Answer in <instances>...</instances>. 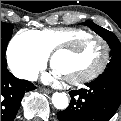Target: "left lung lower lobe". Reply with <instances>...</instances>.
<instances>
[{
    "label": "left lung lower lobe",
    "mask_w": 121,
    "mask_h": 121,
    "mask_svg": "<svg viewBox=\"0 0 121 121\" xmlns=\"http://www.w3.org/2000/svg\"><path fill=\"white\" fill-rule=\"evenodd\" d=\"M87 89L69 92L67 109L57 113L60 121H109L121 103V78L101 75Z\"/></svg>",
    "instance_id": "0a47b994"
}]
</instances>
